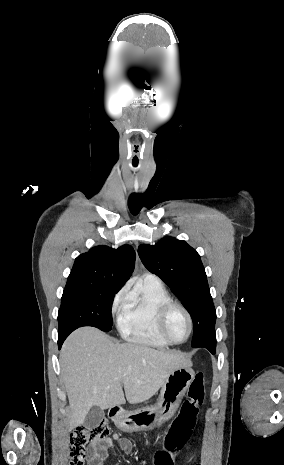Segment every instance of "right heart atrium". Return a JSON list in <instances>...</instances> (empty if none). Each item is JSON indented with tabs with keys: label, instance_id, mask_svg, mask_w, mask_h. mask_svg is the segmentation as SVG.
<instances>
[{
	"label": "right heart atrium",
	"instance_id": "d8ad5b80",
	"mask_svg": "<svg viewBox=\"0 0 284 465\" xmlns=\"http://www.w3.org/2000/svg\"><path fill=\"white\" fill-rule=\"evenodd\" d=\"M132 292L127 286H123L115 295L112 297L110 308L113 314H117L123 305H125L132 297Z\"/></svg>",
	"mask_w": 284,
	"mask_h": 465
}]
</instances>
